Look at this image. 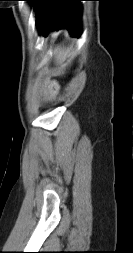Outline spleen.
<instances>
[{
    "label": "spleen",
    "instance_id": "spleen-1",
    "mask_svg": "<svg viewBox=\"0 0 133 253\" xmlns=\"http://www.w3.org/2000/svg\"><path fill=\"white\" fill-rule=\"evenodd\" d=\"M67 53H68V50L66 51V50H63V49H56L55 54H56L57 61L59 63H61L65 59Z\"/></svg>",
    "mask_w": 133,
    "mask_h": 253
}]
</instances>
